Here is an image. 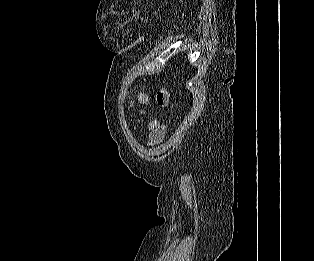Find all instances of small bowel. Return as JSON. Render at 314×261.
<instances>
[{"instance_id": "small-bowel-1", "label": "small bowel", "mask_w": 314, "mask_h": 261, "mask_svg": "<svg viewBox=\"0 0 314 261\" xmlns=\"http://www.w3.org/2000/svg\"><path fill=\"white\" fill-rule=\"evenodd\" d=\"M147 96H141L142 102H147ZM165 129L163 126L157 125L156 123L150 124V133H149V141L152 144H158L162 141L164 137Z\"/></svg>"}]
</instances>
